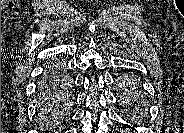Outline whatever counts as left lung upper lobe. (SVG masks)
Here are the masks:
<instances>
[{"label":"left lung upper lobe","mask_w":184,"mask_h":133,"mask_svg":"<svg viewBox=\"0 0 184 133\" xmlns=\"http://www.w3.org/2000/svg\"><path fill=\"white\" fill-rule=\"evenodd\" d=\"M121 82L125 87V103L132 109L134 108L139 112L143 111L144 106L139 102L141 99H139V89L137 88L135 81H133L131 78H123Z\"/></svg>","instance_id":"left-lung-upper-lobe-1"}]
</instances>
